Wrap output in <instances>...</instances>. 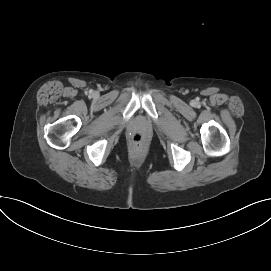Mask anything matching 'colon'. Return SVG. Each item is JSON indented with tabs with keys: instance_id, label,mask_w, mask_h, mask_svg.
<instances>
[{
	"instance_id": "5ec220e1",
	"label": "colon",
	"mask_w": 271,
	"mask_h": 271,
	"mask_svg": "<svg viewBox=\"0 0 271 271\" xmlns=\"http://www.w3.org/2000/svg\"><path fill=\"white\" fill-rule=\"evenodd\" d=\"M132 139H133V142L137 145L141 144L143 141V137L140 133H135Z\"/></svg>"
}]
</instances>
